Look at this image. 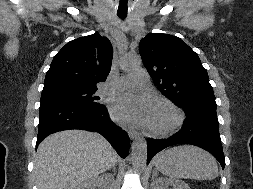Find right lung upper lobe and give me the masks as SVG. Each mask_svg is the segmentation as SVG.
Wrapping results in <instances>:
<instances>
[{
	"label": "right lung upper lobe",
	"instance_id": "right-lung-upper-lobe-1",
	"mask_svg": "<svg viewBox=\"0 0 253 189\" xmlns=\"http://www.w3.org/2000/svg\"><path fill=\"white\" fill-rule=\"evenodd\" d=\"M113 48L98 33L67 43L53 58L43 90L72 87L97 88L110 72Z\"/></svg>",
	"mask_w": 253,
	"mask_h": 189
}]
</instances>
